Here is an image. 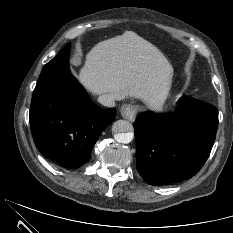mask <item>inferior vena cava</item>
<instances>
[{
    "label": "inferior vena cava",
    "instance_id": "inferior-vena-cava-1",
    "mask_svg": "<svg viewBox=\"0 0 233 233\" xmlns=\"http://www.w3.org/2000/svg\"><path fill=\"white\" fill-rule=\"evenodd\" d=\"M116 99L118 100V97L114 94H103L98 97V101L107 107H114Z\"/></svg>",
    "mask_w": 233,
    "mask_h": 233
}]
</instances>
